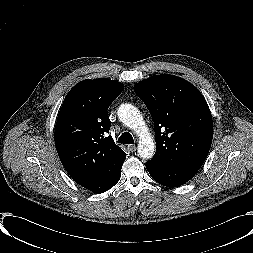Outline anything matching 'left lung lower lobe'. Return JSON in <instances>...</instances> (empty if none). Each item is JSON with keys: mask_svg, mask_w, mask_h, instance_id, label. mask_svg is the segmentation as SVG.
Returning a JSON list of instances; mask_svg holds the SVG:
<instances>
[{"mask_svg": "<svg viewBox=\"0 0 253 253\" xmlns=\"http://www.w3.org/2000/svg\"><path fill=\"white\" fill-rule=\"evenodd\" d=\"M146 168L156 182L167 187H177L186 183L198 171V169L166 167L149 162L146 163Z\"/></svg>", "mask_w": 253, "mask_h": 253, "instance_id": "obj_1", "label": "left lung lower lobe"}]
</instances>
